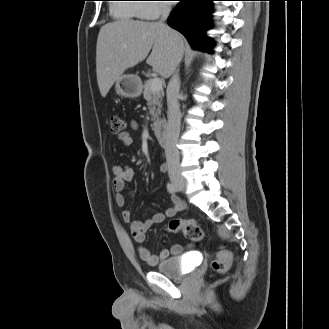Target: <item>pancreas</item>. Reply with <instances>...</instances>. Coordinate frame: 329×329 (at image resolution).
<instances>
[{"mask_svg":"<svg viewBox=\"0 0 329 329\" xmlns=\"http://www.w3.org/2000/svg\"><path fill=\"white\" fill-rule=\"evenodd\" d=\"M144 99L147 101V105L150 107V114L152 116V121L156 124L158 117L161 114L162 98L164 97L163 89L159 91H152L151 89V79L145 81L144 84Z\"/></svg>","mask_w":329,"mask_h":329,"instance_id":"pancreas-1","label":"pancreas"}]
</instances>
